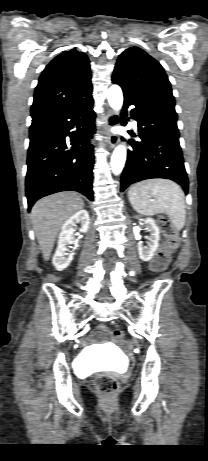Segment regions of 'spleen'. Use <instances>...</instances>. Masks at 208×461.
I'll list each match as a JSON object with an SVG mask.
<instances>
[{
    "label": "spleen",
    "instance_id": "1",
    "mask_svg": "<svg viewBox=\"0 0 208 461\" xmlns=\"http://www.w3.org/2000/svg\"><path fill=\"white\" fill-rule=\"evenodd\" d=\"M128 199L140 214L165 213L176 229L181 230L185 225L184 192L171 180L151 179L136 183L129 189Z\"/></svg>",
    "mask_w": 208,
    "mask_h": 461
}]
</instances>
